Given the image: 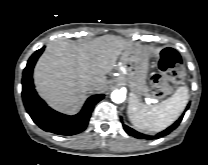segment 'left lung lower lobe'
Segmentation results:
<instances>
[{
  "mask_svg": "<svg viewBox=\"0 0 208 165\" xmlns=\"http://www.w3.org/2000/svg\"><path fill=\"white\" fill-rule=\"evenodd\" d=\"M187 109H188V107H187ZM182 119H183V115L173 125L168 127L166 130L158 133L156 136L157 137H161V136L169 134L171 131H173L175 128H177V126L180 124ZM123 127H124V130L129 135L134 136L136 138H139V139H153V138H155V136H150V135H145V134L139 133V132L133 130L132 128H130V127L126 126V125H123Z\"/></svg>",
  "mask_w": 208,
  "mask_h": 165,
  "instance_id": "obj_1",
  "label": "left lung lower lobe"
}]
</instances>
